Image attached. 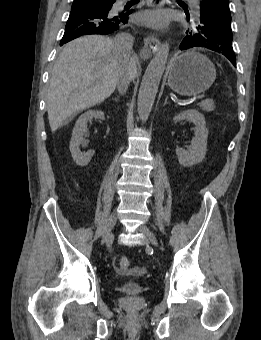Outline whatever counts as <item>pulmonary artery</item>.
Here are the masks:
<instances>
[{
    "mask_svg": "<svg viewBox=\"0 0 261 340\" xmlns=\"http://www.w3.org/2000/svg\"><path fill=\"white\" fill-rule=\"evenodd\" d=\"M189 1L192 3V5H193L194 7L197 8V5H198L197 0H189ZM196 13H197V12H196Z\"/></svg>",
    "mask_w": 261,
    "mask_h": 340,
    "instance_id": "obj_1",
    "label": "pulmonary artery"
}]
</instances>
